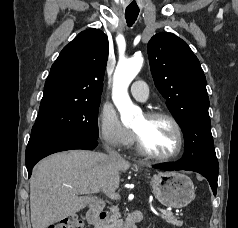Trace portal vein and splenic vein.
Listing matches in <instances>:
<instances>
[{
  "mask_svg": "<svg viewBox=\"0 0 238 228\" xmlns=\"http://www.w3.org/2000/svg\"><path fill=\"white\" fill-rule=\"evenodd\" d=\"M97 192L98 191H95V193H97ZM108 197H110L112 199H118L119 195L117 193H110V194H108ZM158 211L160 213H162L163 215H173V213L171 211H167V210H164V209L158 208Z\"/></svg>",
  "mask_w": 238,
  "mask_h": 228,
  "instance_id": "obj_1",
  "label": "portal vein and splenic vein"
}]
</instances>
